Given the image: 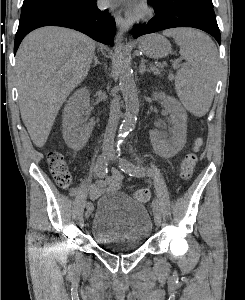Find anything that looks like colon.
Listing matches in <instances>:
<instances>
[{
  "label": "colon",
  "instance_id": "colon-1",
  "mask_svg": "<svg viewBox=\"0 0 245 300\" xmlns=\"http://www.w3.org/2000/svg\"><path fill=\"white\" fill-rule=\"evenodd\" d=\"M202 145V139L197 138L194 141L192 151L184 157L181 164V178L189 180L192 177L194 168L197 163V153ZM49 168L54 177L55 182L61 188H67L71 183V176L68 170L67 163L63 155L59 152H51L48 156ZM134 199L140 203H146L150 200V191L146 188L138 189L133 194Z\"/></svg>",
  "mask_w": 245,
  "mask_h": 300
}]
</instances>
